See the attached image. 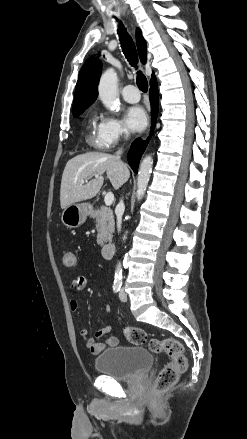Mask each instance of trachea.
Wrapping results in <instances>:
<instances>
[{"label":"trachea","instance_id":"obj_1","mask_svg":"<svg viewBox=\"0 0 247 439\" xmlns=\"http://www.w3.org/2000/svg\"><path fill=\"white\" fill-rule=\"evenodd\" d=\"M119 39L121 43V47L123 50V53L127 60L130 62L132 66H135L138 62V56L135 49L134 42L132 38L129 36V34L124 29L121 21H120V27L118 29ZM137 86L139 89L143 92H147L148 90V81L146 77L139 71L137 73V80H136Z\"/></svg>","mask_w":247,"mask_h":439}]
</instances>
